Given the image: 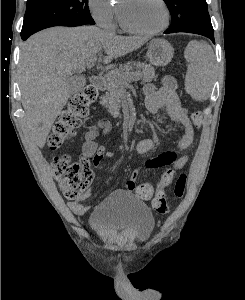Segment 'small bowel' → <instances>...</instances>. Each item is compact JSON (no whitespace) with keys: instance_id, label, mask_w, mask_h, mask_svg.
Returning <instances> with one entry per match:
<instances>
[{"instance_id":"obj_1","label":"small bowel","mask_w":245,"mask_h":300,"mask_svg":"<svg viewBox=\"0 0 245 300\" xmlns=\"http://www.w3.org/2000/svg\"><path fill=\"white\" fill-rule=\"evenodd\" d=\"M142 93L145 99L147 110L154 114L162 108H165L169 117L174 120L182 128L183 135L178 141V149L184 153L177 156L175 152H166L159 156L152 158L145 163V167L149 169L163 168L161 177L156 184L157 190H164L169 188L175 179L176 174L188 162V152L193 150L196 145V135L194 127L189 119L187 109L183 105L176 80L171 76H164L161 81V86L156 87L152 84H147L143 87ZM112 131V124L108 120H99L91 126L84 134V142L82 144L83 159H91L93 166L97 167L103 157L112 158L115 154L106 150L99 145L97 139L100 135H108ZM155 147L153 139L146 138L140 140L136 145V152L144 155L151 152ZM139 174V169L131 172L127 182L126 191L133 192L135 182ZM91 192L88 190L81 199L71 200L68 203L69 208L75 214H84L88 207L82 204L81 200L90 196Z\"/></svg>"}]
</instances>
